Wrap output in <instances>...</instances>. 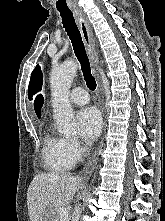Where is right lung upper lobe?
Returning <instances> with one entry per match:
<instances>
[{"mask_svg": "<svg viewBox=\"0 0 165 221\" xmlns=\"http://www.w3.org/2000/svg\"><path fill=\"white\" fill-rule=\"evenodd\" d=\"M42 88V73L39 65L33 70L29 82L28 97L31 100L34 93Z\"/></svg>", "mask_w": 165, "mask_h": 221, "instance_id": "right-lung-upper-lobe-1", "label": "right lung upper lobe"}]
</instances>
